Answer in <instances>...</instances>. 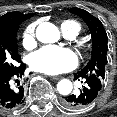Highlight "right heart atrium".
<instances>
[{
    "instance_id": "1",
    "label": "right heart atrium",
    "mask_w": 117,
    "mask_h": 117,
    "mask_svg": "<svg viewBox=\"0 0 117 117\" xmlns=\"http://www.w3.org/2000/svg\"><path fill=\"white\" fill-rule=\"evenodd\" d=\"M22 44L26 49H31L36 45L35 24L26 27L22 35Z\"/></svg>"
}]
</instances>
